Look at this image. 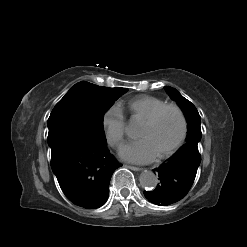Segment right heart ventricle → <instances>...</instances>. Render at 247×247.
Listing matches in <instances>:
<instances>
[{
  "instance_id": "1",
  "label": "right heart ventricle",
  "mask_w": 247,
  "mask_h": 247,
  "mask_svg": "<svg viewBox=\"0 0 247 247\" xmlns=\"http://www.w3.org/2000/svg\"><path fill=\"white\" fill-rule=\"evenodd\" d=\"M165 104L166 102L158 97L150 95L138 96L128 103L130 119L132 121L143 122Z\"/></svg>"
}]
</instances>
